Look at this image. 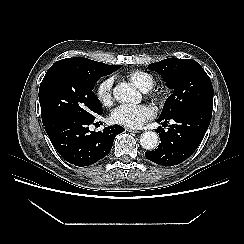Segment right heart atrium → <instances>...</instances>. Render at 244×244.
<instances>
[{"label": "right heart atrium", "mask_w": 244, "mask_h": 244, "mask_svg": "<svg viewBox=\"0 0 244 244\" xmlns=\"http://www.w3.org/2000/svg\"><path fill=\"white\" fill-rule=\"evenodd\" d=\"M112 85L113 79L108 78L102 81L96 90L97 99L105 107H109L113 104Z\"/></svg>", "instance_id": "1"}]
</instances>
